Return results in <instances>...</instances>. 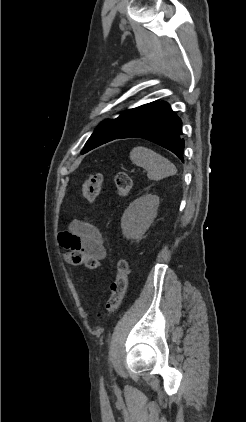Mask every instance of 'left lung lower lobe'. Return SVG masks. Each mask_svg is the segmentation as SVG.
Segmentation results:
<instances>
[{"label": "left lung lower lobe", "instance_id": "1", "mask_svg": "<svg viewBox=\"0 0 246 422\" xmlns=\"http://www.w3.org/2000/svg\"><path fill=\"white\" fill-rule=\"evenodd\" d=\"M181 135V119L172 111L167 102L160 101L116 139L149 140L170 150L183 162L184 140Z\"/></svg>", "mask_w": 246, "mask_h": 422}]
</instances>
